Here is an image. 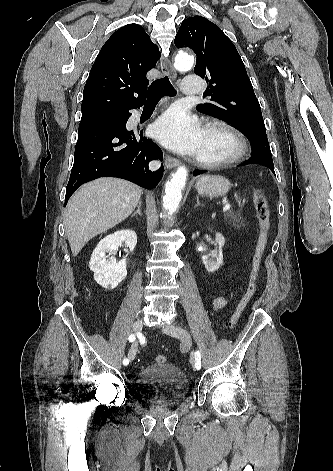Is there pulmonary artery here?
<instances>
[{
	"label": "pulmonary artery",
	"instance_id": "1",
	"mask_svg": "<svg viewBox=\"0 0 333 471\" xmlns=\"http://www.w3.org/2000/svg\"><path fill=\"white\" fill-rule=\"evenodd\" d=\"M182 90L185 95H197L202 90V80L196 75H190L185 78Z\"/></svg>",
	"mask_w": 333,
	"mask_h": 471
}]
</instances>
